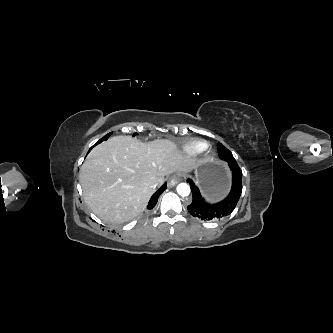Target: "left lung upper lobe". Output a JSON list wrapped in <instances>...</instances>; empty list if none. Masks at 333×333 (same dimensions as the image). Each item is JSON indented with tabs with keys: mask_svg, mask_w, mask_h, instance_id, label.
I'll return each mask as SVG.
<instances>
[{
	"mask_svg": "<svg viewBox=\"0 0 333 333\" xmlns=\"http://www.w3.org/2000/svg\"><path fill=\"white\" fill-rule=\"evenodd\" d=\"M218 152L221 159L225 161H231V160L235 161L232 153L221 143L218 144Z\"/></svg>",
	"mask_w": 333,
	"mask_h": 333,
	"instance_id": "left-lung-upper-lobe-1",
	"label": "left lung upper lobe"
}]
</instances>
